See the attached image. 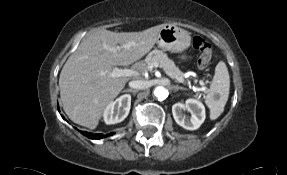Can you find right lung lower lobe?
<instances>
[{
	"instance_id": "98d812e1",
	"label": "right lung lower lobe",
	"mask_w": 287,
	"mask_h": 175,
	"mask_svg": "<svg viewBox=\"0 0 287 175\" xmlns=\"http://www.w3.org/2000/svg\"><path fill=\"white\" fill-rule=\"evenodd\" d=\"M58 109H59V107H58ZM81 133H82L83 135L87 136V137L90 138V139H100V138H102V137L108 136V135L93 134V133L82 132V131H81Z\"/></svg>"
}]
</instances>
